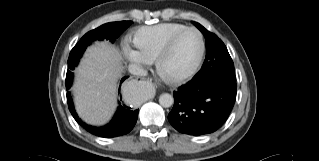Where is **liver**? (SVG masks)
<instances>
[{
	"label": "liver",
	"mask_w": 319,
	"mask_h": 161,
	"mask_svg": "<svg viewBox=\"0 0 319 161\" xmlns=\"http://www.w3.org/2000/svg\"><path fill=\"white\" fill-rule=\"evenodd\" d=\"M121 60L118 49L108 42H96L87 49L73 86L76 110L85 122L102 125L113 114Z\"/></svg>",
	"instance_id": "obj_1"
}]
</instances>
